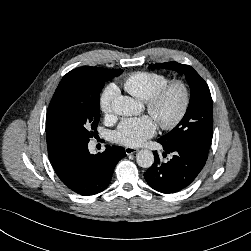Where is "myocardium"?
<instances>
[{
  "instance_id": "1",
  "label": "myocardium",
  "mask_w": 251,
  "mask_h": 251,
  "mask_svg": "<svg viewBox=\"0 0 251 251\" xmlns=\"http://www.w3.org/2000/svg\"><path fill=\"white\" fill-rule=\"evenodd\" d=\"M177 90L181 94V103L176 114L168 120L162 119L158 115V110L166 96ZM191 100L188 85L183 80H172L156 91L147 101L146 108L148 113L156 120L158 125L164 130H171L177 127L185 117Z\"/></svg>"
}]
</instances>
